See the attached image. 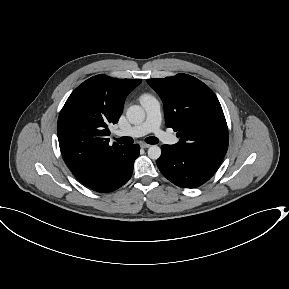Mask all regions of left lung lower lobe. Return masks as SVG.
<instances>
[{
  "instance_id": "0a47b994",
  "label": "left lung lower lobe",
  "mask_w": 289,
  "mask_h": 289,
  "mask_svg": "<svg viewBox=\"0 0 289 289\" xmlns=\"http://www.w3.org/2000/svg\"><path fill=\"white\" fill-rule=\"evenodd\" d=\"M161 150L157 166L165 178L179 187L202 185L215 174L221 163L204 155L188 153L174 145H163Z\"/></svg>"
}]
</instances>
